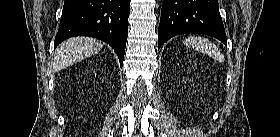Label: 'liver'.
Returning <instances> with one entry per match:
<instances>
[{
	"instance_id": "1",
	"label": "liver",
	"mask_w": 280,
	"mask_h": 137,
	"mask_svg": "<svg viewBox=\"0 0 280 137\" xmlns=\"http://www.w3.org/2000/svg\"><path fill=\"white\" fill-rule=\"evenodd\" d=\"M103 44L93 38L76 37L61 43L54 53L53 70L60 71L98 53Z\"/></svg>"
}]
</instances>
